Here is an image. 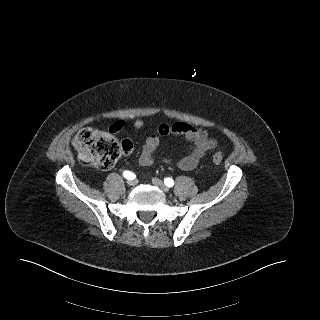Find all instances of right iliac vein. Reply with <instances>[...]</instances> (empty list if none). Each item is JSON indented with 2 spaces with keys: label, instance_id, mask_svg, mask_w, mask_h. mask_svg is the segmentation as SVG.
<instances>
[{
  "label": "right iliac vein",
  "instance_id": "right-iliac-vein-1",
  "mask_svg": "<svg viewBox=\"0 0 320 320\" xmlns=\"http://www.w3.org/2000/svg\"><path fill=\"white\" fill-rule=\"evenodd\" d=\"M127 183L130 186H134V185H136L137 181L135 179H132V180L127 181Z\"/></svg>",
  "mask_w": 320,
  "mask_h": 320
}]
</instances>
